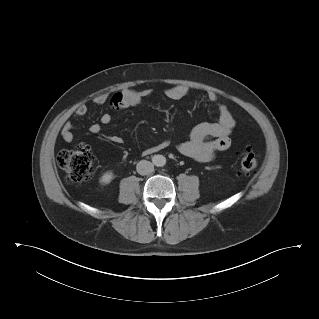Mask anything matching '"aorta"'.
<instances>
[{
  "mask_svg": "<svg viewBox=\"0 0 319 319\" xmlns=\"http://www.w3.org/2000/svg\"><path fill=\"white\" fill-rule=\"evenodd\" d=\"M166 163V158L163 155H157L154 157V164L156 166H164Z\"/></svg>",
  "mask_w": 319,
  "mask_h": 319,
  "instance_id": "aorta-1",
  "label": "aorta"
}]
</instances>
